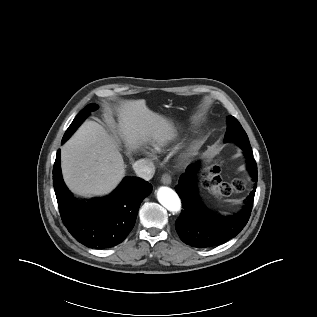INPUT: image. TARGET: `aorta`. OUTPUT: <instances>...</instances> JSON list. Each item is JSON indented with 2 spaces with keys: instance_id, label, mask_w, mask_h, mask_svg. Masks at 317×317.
<instances>
[{
  "instance_id": "aorta-1",
  "label": "aorta",
  "mask_w": 317,
  "mask_h": 317,
  "mask_svg": "<svg viewBox=\"0 0 317 317\" xmlns=\"http://www.w3.org/2000/svg\"><path fill=\"white\" fill-rule=\"evenodd\" d=\"M159 203L172 213H178L181 210V200L177 193L169 187L162 186L157 191Z\"/></svg>"
}]
</instances>
